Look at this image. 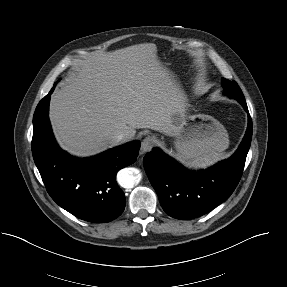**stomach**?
<instances>
[{"mask_svg": "<svg viewBox=\"0 0 287 287\" xmlns=\"http://www.w3.org/2000/svg\"><path fill=\"white\" fill-rule=\"evenodd\" d=\"M177 157L187 163L224 151L229 145L224 126L210 115L187 108L172 136Z\"/></svg>", "mask_w": 287, "mask_h": 287, "instance_id": "0dacf381", "label": "stomach"}]
</instances>
